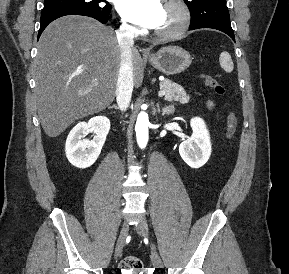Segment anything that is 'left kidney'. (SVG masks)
<instances>
[{
    "instance_id": "1",
    "label": "left kidney",
    "mask_w": 289,
    "mask_h": 274,
    "mask_svg": "<svg viewBox=\"0 0 289 274\" xmlns=\"http://www.w3.org/2000/svg\"><path fill=\"white\" fill-rule=\"evenodd\" d=\"M193 134L179 146V153L184 162L192 168H200L209 160L212 147L205 122L199 118L190 121Z\"/></svg>"
}]
</instances>
